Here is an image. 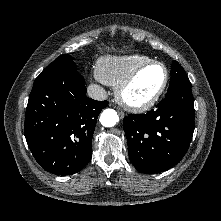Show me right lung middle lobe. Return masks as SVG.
<instances>
[{
    "instance_id": "obj_1",
    "label": "right lung middle lobe",
    "mask_w": 221,
    "mask_h": 221,
    "mask_svg": "<svg viewBox=\"0 0 221 221\" xmlns=\"http://www.w3.org/2000/svg\"><path fill=\"white\" fill-rule=\"evenodd\" d=\"M73 60L74 58L68 54L59 56L36 78L31 92L40 90L51 81L60 77L77 76L83 78L81 75H78L76 64Z\"/></svg>"
}]
</instances>
